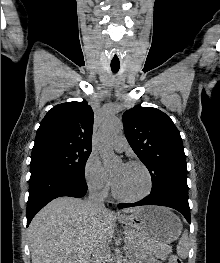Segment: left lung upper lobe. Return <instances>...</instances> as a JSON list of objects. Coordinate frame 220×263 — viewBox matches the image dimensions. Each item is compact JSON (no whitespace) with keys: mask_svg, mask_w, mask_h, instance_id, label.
Masks as SVG:
<instances>
[{"mask_svg":"<svg viewBox=\"0 0 220 263\" xmlns=\"http://www.w3.org/2000/svg\"><path fill=\"white\" fill-rule=\"evenodd\" d=\"M122 120L130 146L151 174V193L172 191L188 196L182 139L170 117L138 105L127 110Z\"/></svg>","mask_w":220,"mask_h":263,"instance_id":"5c2ea615","label":"left lung upper lobe"}]
</instances>
